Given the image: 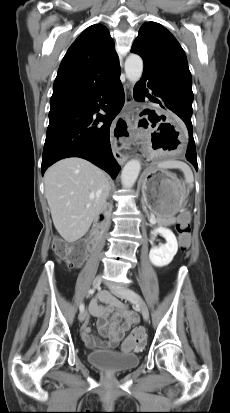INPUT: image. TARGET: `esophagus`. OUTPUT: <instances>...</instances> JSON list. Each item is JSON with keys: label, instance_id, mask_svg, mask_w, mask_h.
Returning a JSON list of instances; mask_svg holds the SVG:
<instances>
[{"label": "esophagus", "instance_id": "obj_1", "mask_svg": "<svg viewBox=\"0 0 230 413\" xmlns=\"http://www.w3.org/2000/svg\"><path fill=\"white\" fill-rule=\"evenodd\" d=\"M124 93H125V106H124V113H133L134 110L132 109L131 105L134 101L133 98V85L130 83H125L124 84ZM134 128V127H133ZM114 156L117 160V162L122 165L125 163V161L129 158L128 155H123L121 154L117 149L114 151Z\"/></svg>", "mask_w": 230, "mask_h": 413}]
</instances>
